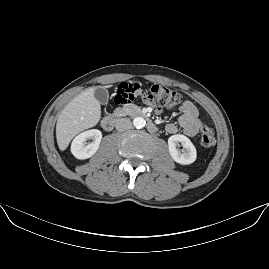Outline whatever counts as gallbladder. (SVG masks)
Listing matches in <instances>:
<instances>
[{"instance_id": "bac80fb5", "label": "gallbladder", "mask_w": 269, "mask_h": 269, "mask_svg": "<svg viewBox=\"0 0 269 269\" xmlns=\"http://www.w3.org/2000/svg\"><path fill=\"white\" fill-rule=\"evenodd\" d=\"M94 96L101 104H105L108 101V92L104 87H96L94 90Z\"/></svg>"}]
</instances>
